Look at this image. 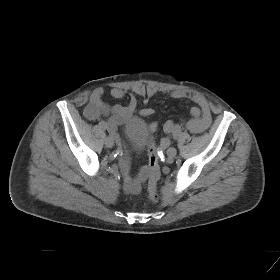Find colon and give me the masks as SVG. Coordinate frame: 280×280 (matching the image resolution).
I'll use <instances>...</instances> for the list:
<instances>
[{"mask_svg": "<svg viewBox=\"0 0 280 280\" xmlns=\"http://www.w3.org/2000/svg\"><path fill=\"white\" fill-rule=\"evenodd\" d=\"M159 148L152 141L148 146L147 193L151 202L158 200L157 181L159 178Z\"/></svg>", "mask_w": 280, "mask_h": 280, "instance_id": "5ec220e1", "label": "colon"}]
</instances>
